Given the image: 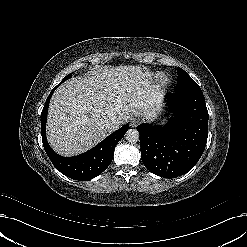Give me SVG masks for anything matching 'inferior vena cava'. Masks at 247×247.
<instances>
[{"mask_svg":"<svg viewBox=\"0 0 247 247\" xmlns=\"http://www.w3.org/2000/svg\"><path fill=\"white\" fill-rule=\"evenodd\" d=\"M105 128L110 130V131H114L115 129H117L120 126V120L116 119V118H111L109 120H107V122L104 124Z\"/></svg>","mask_w":247,"mask_h":247,"instance_id":"602c4592","label":"inferior vena cava"}]
</instances>
